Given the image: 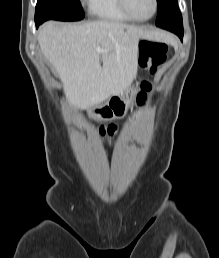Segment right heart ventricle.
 I'll return each mask as SVG.
<instances>
[{
  "label": "right heart ventricle",
  "mask_w": 219,
  "mask_h": 258,
  "mask_svg": "<svg viewBox=\"0 0 219 258\" xmlns=\"http://www.w3.org/2000/svg\"><path fill=\"white\" fill-rule=\"evenodd\" d=\"M89 8L91 13L101 20L114 22L131 21L121 10L119 0H92Z\"/></svg>",
  "instance_id": "1"
}]
</instances>
